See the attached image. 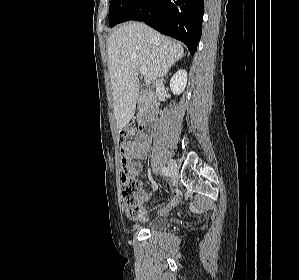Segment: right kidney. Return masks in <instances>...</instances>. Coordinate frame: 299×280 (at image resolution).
<instances>
[{
	"mask_svg": "<svg viewBox=\"0 0 299 280\" xmlns=\"http://www.w3.org/2000/svg\"><path fill=\"white\" fill-rule=\"evenodd\" d=\"M187 84V72L184 69L178 70L170 80V89L171 91L179 95L181 94Z\"/></svg>",
	"mask_w": 299,
	"mask_h": 280,
	"instance_id": "ca27d5eb",
	"label": "right kidney"
}]
</instances>
